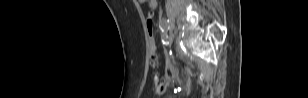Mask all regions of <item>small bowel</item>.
I'll list each match as a JSON object with an SVG mask.
<instances>
[{
    "instance_id": "small-bowel-1",
    "label": "small bowel",
    "mask_w": 308,
    "mask_h": 98,
    "mask_svg": "<svg viewBox=\"0 0 308 98\" xmlns=\"http://www.w3.org/2000/svg\"><path fill=\"white\" fill-rule=\"evenodd\" d=\"M139 3L145 5L149 9H155L157 6L156 0H139Z\"/></svg>"
}]
</instances>
